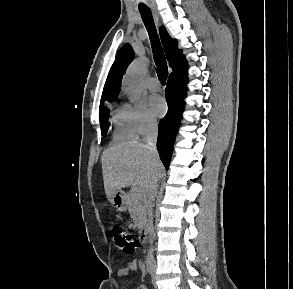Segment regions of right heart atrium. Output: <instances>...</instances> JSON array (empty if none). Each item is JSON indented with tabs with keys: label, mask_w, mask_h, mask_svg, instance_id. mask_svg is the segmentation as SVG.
<instances>
[{
	"label": "right heart atrium",
	"mask_w": 293,
	"mask_h": 289,
	"mask_svg": "<svg viewBox=\"0 0 293 289\" xmlns=\"http://www.w3.org/2000/svg\"><path fill=\"white\" fill-rule=\"evenodd\" d=\"M128 109L137 135L146 136L156 130L157 121L144 102L137 101L128 106Z\"/></svg>",
	"instance_id": "d8ad5b80"
}]
</instances>
